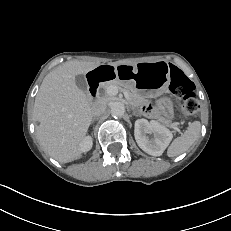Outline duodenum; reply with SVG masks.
Masks as SVG:
<instances>
[{
  "instance_id": "obj_1",
  "label": "duodenum",
  "mask_w": 231,
  "mask_h": 231,
  "mask_svg": "<svg viewBox=\"0 0 231 231\" xmlns=\"http://www.w3.org/2000/svg\"><path fill=\"white\" fill-rule=\"evenodd\" d=\"M109 75V69L106 66L101 67L95 71L93 76L89 80V97L95 99L97 97V88L100 82L107 80Z\"/></svg>"
}]
</instances>
